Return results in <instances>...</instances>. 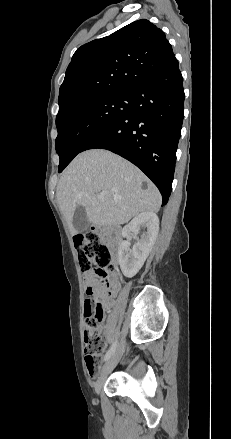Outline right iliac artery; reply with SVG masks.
I'll return each mask as SVG.
<instances>
[{
	"label": "right iliac artery",
	"mask_w": 231,
	"mask_h": 439,
	"mask_svg": "<svg viewBox=\"0 0 231 439\" xmlns=\"http://www.w3.org/2000/svg\"><path fill=\"white\" fill-rule=\"evenodd\" d=\"M116 347H117V341L112 345V347L107 351V353H106V355H105V357H104V360L106 361V360H108L111 356H112V354L115 352V350H116Z\"/></svg>",
	"instance_id": "obj_1"
}]
</instances>
